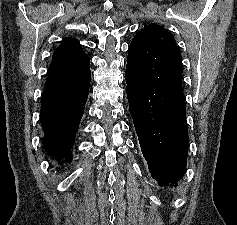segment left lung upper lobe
<instances>
[{"label":"left lung upper lobe","instance_id":"1","mask_svg":"<svg viewBox=\"0 0 237 225\" xmlns=\"http://www.w3.org/2000/svg\"><path fill=\"white\" fill-rule=\"evenodd\" d=\"M126 71L157 88H181V54L173 36L157 24L145 25L129 46Z\"/></svg>","mask_w":237,"mask_h":225}]
</instances>
